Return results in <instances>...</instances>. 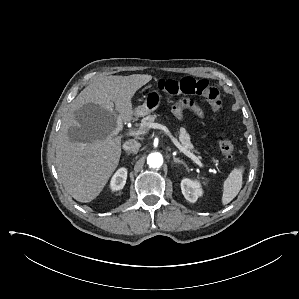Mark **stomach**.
<instances>
[{
	"label": "stomach",
	"instance_id": "0dacf381",
	"mask_svg": "<svg viewBox=\"0 0 299 299\" xmlns=\"http://www.w3.org/2000/svg\"><path fill=\"white\" fill-rule=\"evenodd\" d=\"M161 103V95L158 92L150 91L144 96V102L135 108L134 115L136 117H143L154 112Z\"/></svg>",
	"mask_w": 299,
	"mask_h": 299
}]
</instances>
